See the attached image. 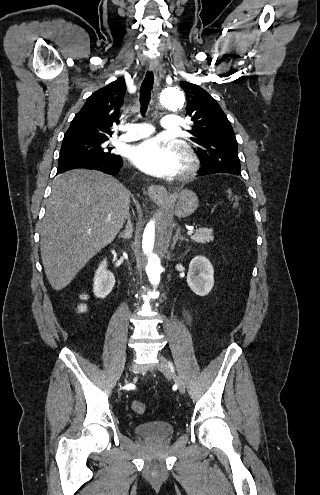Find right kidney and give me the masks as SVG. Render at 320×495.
Wrapping results in <instances>:
<instances>
[{
  "label": "right kidney",
  "mask_w": 320,
  "mask_h": 495,
  "mask_svg": "<svg viewBox=\"0 0 320 495\" xmlns=\"http://www.w3.org/2000/svg\"><path fill=\"white\" fill-rule=\"evenodd\" d=\"M115 285V277L107 270V262L103 260L99 265L94 277L93 292L97 298H105L112 291Z\"/></svg>",
  "instance_id": "right-kidney-1"
}]
</instances>
